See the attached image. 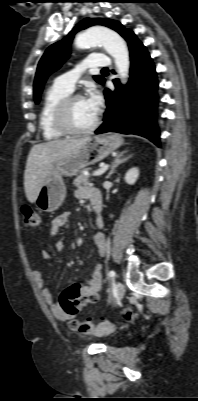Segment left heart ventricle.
Wrapping results in <instances>:
<instances>
[{"mask_svg":"<svg viewBox=\"0 0 198 401\" xmlns=\"http://www.w3.org/2000/svg\"><path fill=\"white\" fill-rule=\"evenodd\" d=\"M97 116V112L90 106L86 98L73 102L70 108V122L73 127L83 129L90 126Z\"/></svg>","mask_w":198,"mask_h":401,"instance_id":"obj_1","label":"left heart ventricle"}]
</instances>
